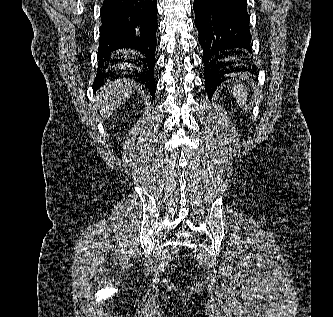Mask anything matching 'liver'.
Segmentation results:
<instances>
[{
    "instance_id": "1",
    "label": "liver",
    "mask_w": 333,
    "mask_h": 317,
    "mask_svg": "<svg viewBox=\"0 0 333 317\" xmlns=\"http://www.w3.org/2000/svg\"><path fill=\"white\" fill-rule=\"evenodd\" d=\"M120 66L125 67L123 64ZM127 67L130 68L131 65H126ZM135 86L136 82L130 79H118L107 82L95 97L94 105L101 116L108 118L116 108L126 102L133 93Z\"/></svg>"
}]
</instances>
